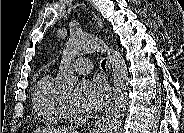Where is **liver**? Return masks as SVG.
I'll return each instance as SVG.
<instances>
[{
	"mask_svg": "<svg viewBox=\"0 0 184 133\" xmlns=\"http://www.w3.org/2000/svg\"><path fill=\"white\" fill-rule=\"evenodd\" d=\"M34 133H69L66 129H38Z\"/></svg>",
	"mask_w": 184,
	"mask_h": 133,
	"instance_id": "obj_1",
	"label": "liver"
}]
</instances>
